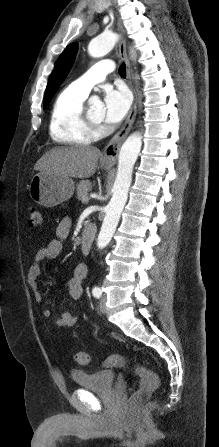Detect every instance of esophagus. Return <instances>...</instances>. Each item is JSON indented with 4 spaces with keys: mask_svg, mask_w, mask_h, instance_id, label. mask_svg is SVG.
I'll return each instance as SVG.
<instances>
[{
    "mask_svg": "<svg viewBox=\"0 0 219 447\" xmlns=\"http://www.w3.org/2000/svg\"><path fill=\"white\" fill-rule=\"evenodd\" d=\"M119 31L123 33V28L121 25V22L118 23ZM119 52L121 55V58L125 61L126 64V71H127V81L128 84L133 92L134 100L133 104L131 106V109L129 111V114L127 116V119L123 126L120 128L119 131L116 132V134L111 138L108 145L105 147L103 152V159L109 164H114L118 158V154L120 151V147L124 140L126 139L127 135L129 134L137 113V91L132 81V71L130 67V62L127 55L126 50V40L124 37L121 38L120 44H119Z\"/></svg>",
    "mask_w": 219,
    "mask_h": 447,
    "instance_id": "1",
    "label": "esophagus"
}]
</instances>
